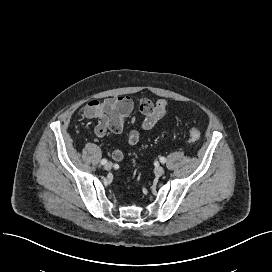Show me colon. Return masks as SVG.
Returning <instances> with one entry per match:
<instances>
[{"instance_id":"obj_1","label":"colon","mask_w":272,"mask_h":272,"mask_svg":"<svg viewBox=\"0 0 272 272\" xmlns=\"http://www.w3.org/2000/svg\"><path fill=\"white\" fill-rule=\"evenodd\" d=\"M98 124L100 130L106 132L107 129H119L123 124V120L113 108L106 106L99 112ZM200 137V130L196 126H193L189 131V143H196Z\"/></svg>"}]
</instances>
